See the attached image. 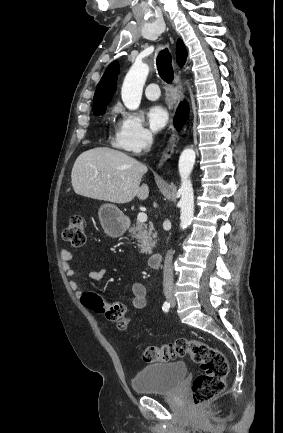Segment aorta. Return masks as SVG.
<instances>
[{
    "instance_id": "obj_1",
    "label": "aorta",
    "mask_w": 283,
    "mask_h": 433,
    "mask_svg": "<svg viewBox=\"0 0 283 433\" xmlns=\"http://www.w3.org/2000/svg\"><path fill=\"white\" fill-rule=\"evenodd\" d=\"M148 73V65L141 62H135L128 71L121 89L122 101L128 109L136 110L139 107ZM195 159L196 153L193 148L184 149L179 158L178 168L181 185L178 192L181 195L179 201L181 208L180 228L183 230L191 224L194 216V193L190 174Z\"/></svg>"
}]
</instances>
